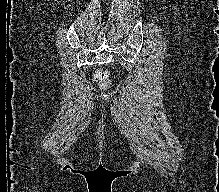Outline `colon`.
<instances>
[{
  "instance_id": "colon-1",
  "label": "colon",
  "mask_w": 219,
  "mask_h": 192,
  "mask_svg": "<svg viewBox=\"0 0 219 192\" xmlns=\"http://www.w3.org/2000/svg\"><path fill=\"white\" fill-rule=\"evenodd\" d=\"M95 80L102 89L108 88L111 84L108 72L103 69H100L96 72Z\"/></svg>"
}]
</instances>
